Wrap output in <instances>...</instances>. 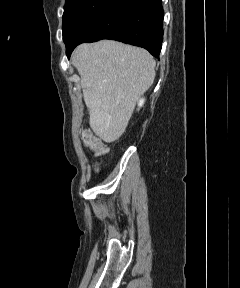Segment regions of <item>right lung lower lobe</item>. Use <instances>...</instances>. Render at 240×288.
Returning a JSON list of instances; mask_svg holds the SVG:
<instances>
[{
	"label": "right lung lower lobe",
	"mask_w": 240,
	"mask_h": 288,
	"mask_svg": "<svg viewBox=\"0 0 240 288\" xmlns=\"http://www.w3.org/2000/svg\"><path fill=\"white\" fill-rule=\"evenodd\" d=\"M163 8L161 0H117L84 34L79 43L113 39L143 47L158 57L163 41Z\"/></svg>",
	"instance_id": "98d812e1"
}]
</instances>
